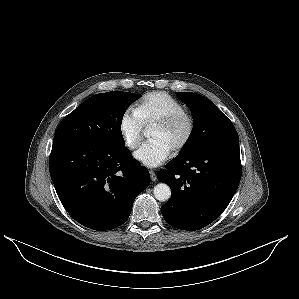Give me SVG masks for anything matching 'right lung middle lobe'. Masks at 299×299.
Masks as SVG:
<instances>
[{
	"mask_svg": "<svg viewBox=\"0 0 299 299\" xmlns=\"http://www.w3.org/2000/svg\"><path fill=\"white\" fill-rule=\"evenodd\" d=\"M139 94L111 91L96 94L67 115L55 137H66L110 149L125 147L121 122L128 106Z\"/></svg>",
	"mask_w": 299,
	"mask_h": 299,
	"instance_id": "right-lung-middle-lobe-1",
	"label": "right lung middle lobe"
}]
</instances>
